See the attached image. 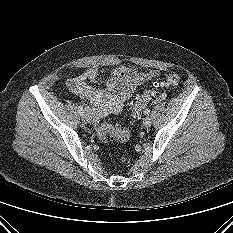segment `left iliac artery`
<instances>
[{
	"label": "left iliac artery",
	"instance_id": "1",
	"mask_svg": "<svg viewBox=\"0 0 233 233\" xmlns=\"http://www.w3.org/2000/svg\"><path fill=\"white\" fill-rule=\"evenodd\" d=\"M144 113H145V115H148V114L150 113V110H149V109H146V110L144 111Z\"/></svg>",
	"mask_w": 233,
	"mask_h": 233
}]
</instances>
